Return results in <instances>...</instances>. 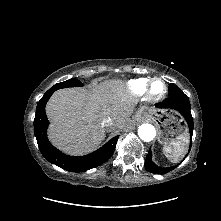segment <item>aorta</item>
<instances>
[{
  "mask_svg": "<svg viewBox=\"0 0 221 221\" xmlns=\"http://www.w3.org/2000/svg\"><path fill=\"white\" fill-rule=\"evenodd\" d=\"M138 135L143 141L149 142L155 138L156 130L151 124H142L141 126H139Z\"/></svg>",
  "mask_w": 221,
  "mask_h": 221,
  "instance_id": "aorta-1",
  "label": "aorta"
}]
</instances>
